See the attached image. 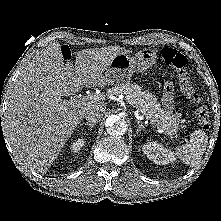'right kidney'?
I'll use <instances>...</instances> for the list:
<instances>
[{"label":"right kidney","mask_w":221,"mask_h":221,"mask_svg":"<svg viewBox=\"0 0 221 221\" xmlns=\"http://www.w3.org/2000/svg\"><path fill=\"white\" fill-rule=\"evenodd\" d=\"M83 145H84V140L78 138L71 143L70 150L73 153H77L82 148Z\"/></svg>","instance_id":"ca27d5eb"}]
</instances>
